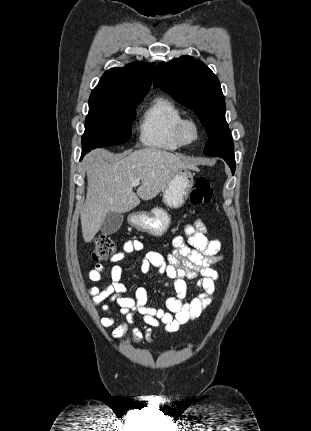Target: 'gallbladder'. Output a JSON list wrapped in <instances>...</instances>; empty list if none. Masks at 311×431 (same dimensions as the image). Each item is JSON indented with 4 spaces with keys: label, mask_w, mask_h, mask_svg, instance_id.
<instances>
[{
    "label": "gallbladder",
    "mask_w": 311,
    "mask_h": 431,
    "mask_svg": "<svg viewBox=\"0 0 311 431\" xmlns=\"http://www.w3.org/2000/svg\"><path fill=\"white\" fill-rule=\"evenodd\" d=\"M124 221L123 214H117V212H109L105 217L100 229L105 233V235H110V233H115L120 229Z\"/></svg>",
    "instance_id": "bac80fb5"
}]
</instances>
